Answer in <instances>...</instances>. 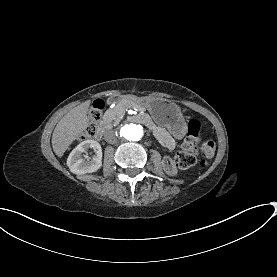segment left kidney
Segmentation results:
<instances>
[{"label": "left kidney", "mask_w": 277, "mask_h": 277, "mask_svg": "<svg viewBox=\"0 0 277 277\" xmlns=\"http://www.w3.org/2000/svg\"><path fill=\"white\" fill-rule=\"evenodd\" d=\"M171 164L169 165L168 163H166L165 159L162 160V166H163V170L165 171V173L167 175L170 176H175L177 175V168L176 166L172 163V160L170 159Z\"/></svg>", "instance_id": "obj_1"}]
</instances>
